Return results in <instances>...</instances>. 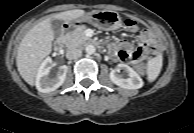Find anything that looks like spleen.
Returning a JSON list of instances; mask_svg holds the SVG:
<instances>
[{
	"label": "spleen",
	"instance_id": "obj_1",
	"mask_svg": "<svg viewBox=\"0 0 194 133\" xmlns=\"http://www.w3.org/2000/svg\"><path fill=\"white\" fill-rule=\"evenodd\" d=\"M162 69V56L158 55L150 59L147 63V79L149 82H153Z\"/></svg>",
	"mask_w": 194,
	"mask_h": 133
}]
</instances>
